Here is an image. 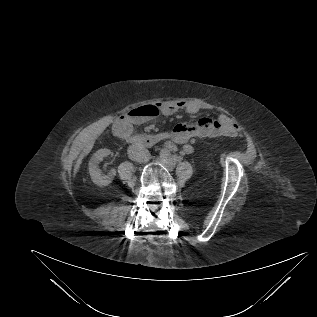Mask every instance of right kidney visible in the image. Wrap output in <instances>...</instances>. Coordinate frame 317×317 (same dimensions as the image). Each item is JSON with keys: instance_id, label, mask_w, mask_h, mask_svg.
I'll return each mask as SVG.
<instances>
[{"instance_id": "obj_1", "label": "right kidney", "mask_w": 317, "mask_h": 317, "mask_svg": "<svg viewBox=\"0 0 317 317\" xmlns=\"http://www.w3.org/2000/svg\"><path fill=\"white\" fill-rule=\"evenodd\" d=\"M109 154H110V150L103 148V149L97 150L90 158V161L88 164V171L91 176V180L93 181V183L97 184L98 186L109 185L116 175L115 169H111L107 175H103L101 174V170L98 167L99 163Z\"/></svg>"}]
</instances>
